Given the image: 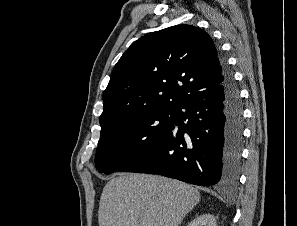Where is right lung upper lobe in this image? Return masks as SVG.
<instances>
[{"instance_id":"1","label":"right lung upper lobe","mask_w":297,"mask_h":226,"mask_svg":"<svg viewBox=\"0 0 297 226\" xmlns=\"http://www.w3.org/2000/svg\"><path fill=\"white\" fill-rule=\"evenodd\" d=\"M221 60L211 37L192 25L138 39L115 65L103 93L101 130L146 112L177 111L189 97L223 82Z\"/></svg>"}]
</instances>
